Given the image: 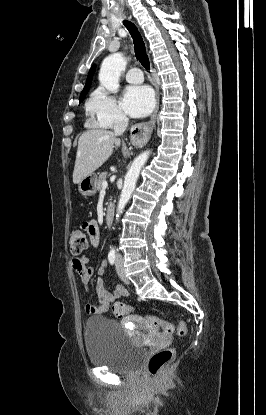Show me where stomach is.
I'll list each match as a JSON object with an SVG mask.
<instances>
[{
  "label": "stomach",
  "mask_w": 266,
  "mask_h": 415,
  "mask_svg": "<svg viewBox=\"0 0 266 415\" xmlns=\"http://www.w3.org/2000/svg\"><path fill=\"white\" fill-rule=\"evenodd\" d=\"M97 176L92 173L87 177L83 178L78 185L79 192L85 196H93L96 193Z\"/></svg>",
  "instance_id": "obj_1"
}]
</instances>
